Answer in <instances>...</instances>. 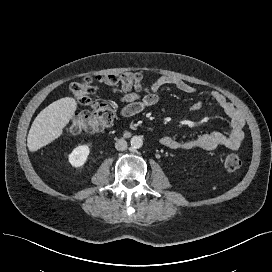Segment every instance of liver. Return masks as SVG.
Here are the masks:
<instances>
[{
	"label": "liver",
	"mask_w": 272,
	"mask_h": 272,
	"mask_svg": "<svg viewBox=\"0 0 272 272\" xmlns=\"http://www.w3.org/2000/svg\"><path fill=\"white\" fill-rule=\"evenodd\" d=\"M76 110L77 101L72 97L61 98L43 109L29 130L28 149L35 152L59 138Z\"/></svg>",
	"instance_id": "6515ba94"
}]
</instances>
